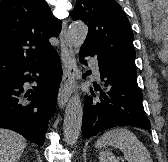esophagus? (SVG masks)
<instances>
[{"label":"esophagus","mask_w":168,"mask_h":162,"mask_svg":"<svg viewBox=\"0 0 168 162\" xmlns=\"http://www.w3.org/2000/svg\"><path fill=\"white\" fill-rule=\"evenodd\" d=\"M59 37L61 43L63 77L58 92V105L63 109L68 103L71 91L75 85L77 73L75 53L68 37L66 21L62 24V30Z\"/></svg>","instance_id":"obj_1"}]
</instances>
